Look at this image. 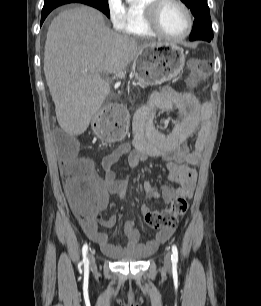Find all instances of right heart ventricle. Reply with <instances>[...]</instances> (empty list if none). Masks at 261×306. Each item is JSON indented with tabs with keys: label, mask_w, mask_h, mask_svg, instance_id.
Returning <instances> with one entry per match:
<instances>
[{
	"label": "right heart ventricle",
	"mask_w": 261,
	"mask_h": 306,
	"mask_svg": "<svg viewBox=\"0 0 261 306\" xmlns=\"http://www.w3.org/2000/svg\"><path fill=\"white\" fill-rule=\"evenodd\" d=\"M151 0H136L126 7V19L123 32L139 38H153L156 34L146 21L145 6Z\"/></svg>",
	"instance_id": "e07e8e85"
}]
</instances>
